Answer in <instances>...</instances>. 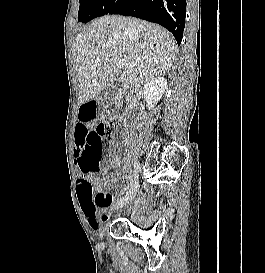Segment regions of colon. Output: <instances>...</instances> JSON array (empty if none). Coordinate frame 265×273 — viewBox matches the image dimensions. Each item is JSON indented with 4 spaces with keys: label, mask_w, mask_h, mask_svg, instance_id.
Returning a JSON list of instances; mask_svg holds the SVG:
<instances>
[{
    "label": "colon",
    "mask_w": 265,
    "mask_h": 273,
    "mask_svg": "<svg viewBox=\"0 0 265 273\" xmlns=\"http://www.w3.org/2000/svg\"><path fill=\"white\" fill-rule=\"evenodd\" d=\"M119 122L112 119L100 123L93 129H76V152L80 157V168L83 175L97 172L101 161V148L106 140H111L117 133ZM80 193L91 195L92 185L86 179L82 180Z\"/></svg>",
    "instance_id": "obj_1"
}]
</instances>
